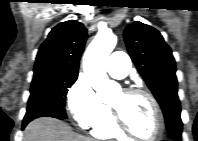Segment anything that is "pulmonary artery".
<instances>
[{
  "instance_id": "1",
  "label": "pulmonary artery",
  "mask_w": 198,
  "mask_h": 141,
  "mask_svg": "<svg viewBox=\"0 0 198 141\" xmlns=\"http://www.w3.org/2000/svg\"><path fill=\"white\" fill-rule=\"evenodd\" d=\"M106 68L111 76L115 78H124L131 68L130 59L126 53L115 51L108 57Z\"/></svg>"
}]
</instances>
